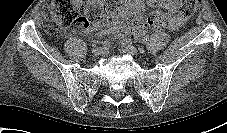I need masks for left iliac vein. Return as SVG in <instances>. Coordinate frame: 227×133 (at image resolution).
Returning a JSON list of instances; mask_svg holds the SVG:
<instances>
[{
	"label": "left iliac vein",
	"instance_id": "left-iliac-vein-1",
	"mask_svg": "<svg viewBox=\"0 0 227 133\" xmlns=\"http://www.w3.org/2000/svg\"><path fill=\"white\" fill-rule=\"evenodd\" d=\"M122 51L132 55H137L139 52L136 47L131 44H125L124 42L122 43Z\"/></svg>",
	"mask_w": 227,
	"mask_h": 133
}]
</instances>
